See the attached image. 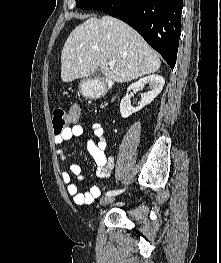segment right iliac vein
Returning <instances> with one entry per match:
<instances>
[{
    "label": "right iliac vein",
    "instance_id": "1",
    "mask_svg": "<svg viewBox=\"0 0 221 263\" xmlns=\"http://www.w3.org/2000/svg\"><path fill=\"white\" fill-rule=\"evenodd\" d=\"M115 200V197L113 196H105L100 200V205L101 206H106L111 204Z\"/></svg>",
    "mask_w": 221,
    "mask_h": 263
}]
</instances>
